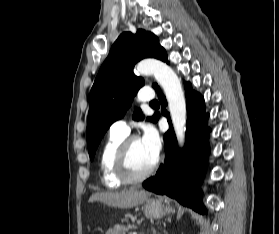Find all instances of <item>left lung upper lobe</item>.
Returning <instances> with one entry per match:
<instances>
[{
    "label": "left lung upper lobe",
    "mask_w": 279,
    "mask_h": 234,
    "mask_svg": "<svg viewBox=\"0 0 279 234\" xmlns=\"http://www.w3.org/2000/svg\"><path fill=\"white\" fill-rule=\"evenodd\" d=\"M143 58L167 62V53L160 46L158 38L141 29L135 35L122 33L102 64L90 92L87 144L91 160L105 132L113 122L125 115L133 97L144 85L143 78L133 74L134 65ZM133 119H144L140 109H135ZM147 120L156 122L157 114Z\"/></svg>",
    "instance_id": "5c2ea615"
}]
</instances>
